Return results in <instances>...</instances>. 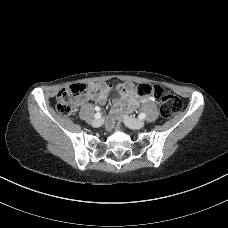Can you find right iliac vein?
Here are the masks:
<instances>
[{
  "mask_svg": "<svg viewBox=\"0 0 228 228\" xmlns=\"http://www.w3.org/2000/svg\"><path fill=\"white\" fill-rule=\"evenodd\" d=\"M103 124V120L102 119H96L92 122V126L93 127H100Z\"/></svg>",
  "mask_w": 228,
  "mask_h": 228,
  "instance_id": "1",
  "label": "right iliac vein"
}]
</instances>
